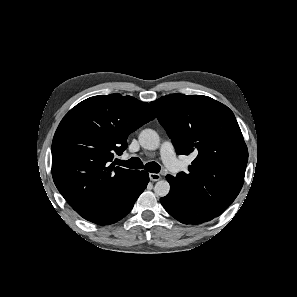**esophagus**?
<instances>
[{"mask_svg":"<svg viewBox=\"0 0 297 297\" xmlns=\"http://www.w3.org/2000/svg\"><path fill=\"white\" fill-rule=\"evenodd\" d=\"M149 178H150V181L155 182V181L160 180L161 176L159 174H156V173H150Z\"/></svg>","mask_w":297,"mask_h":297,"instance_id":"1","label":"esophagus"}]
</instances>
